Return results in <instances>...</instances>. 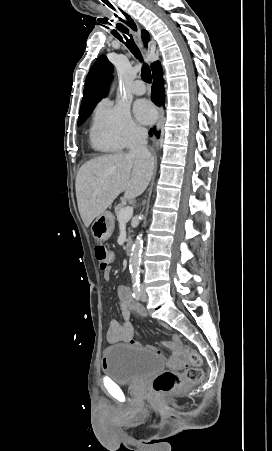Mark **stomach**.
<instances>
[{
  "label": "stomach",
  "instance_id": "stomach-1",
  "mask_svg": "<svg viewBox=\"0 0 272 451\" xmlns=\"http://www.w3.org/2000/svg\"><path fill=\"white\" fill-rule=\"evenodd\" d=\"M114 229V216L111 212H103L91 226V233L97 241H106Z\"/></svg>",
  "mask_w": 272,
  "mask_h": 451
}]
</instances>
